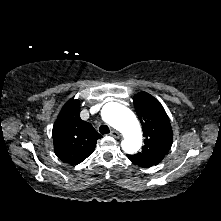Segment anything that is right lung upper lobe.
<instances>
[{
  "label": "right lung upper lobe",
  "instance_id": "1",
  "mask_svg": "<svg viewBox=\"0 0 221 221\" xmlns=\"http://www.w3.org/2000/svg\"><path fill=\"white\" fill-rule=\"evenodd\" d=\"M101 137L90 123L81 120L80 102L74 99L63 106L53 126L55 154L63 162L73 165L87 158Z\"/></svg>",
  "mask_w": 221,
  "mask_h": 221
}]
</instances>
